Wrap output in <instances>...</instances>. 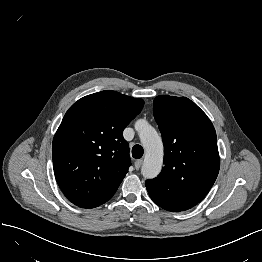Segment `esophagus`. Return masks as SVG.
Masks as SVG:
<instances>
[{"mask_svg": "<svg viewBox=\"0 0 262 262\" xmlns=\"http://www.w3.org/2000/svg\"><path fill=\"white\" fill-rule=\"evenodd\" d=\"M142 163H143V160H136V161L134 162V167H135V169H136V170H139L140 167L142 166Z\"/></svg>", "mask_w": 262, "mask_h": 262, "instance_id": "34e87169", "label": "esophagus"}]
</instances>
